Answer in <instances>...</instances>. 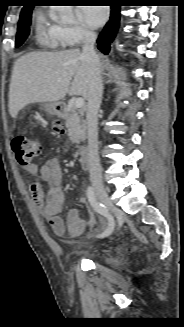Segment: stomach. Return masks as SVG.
I'll return each instance as SVG.
<instances>
[{"mask_svg": "<svg viewBox=\"0 0 184 327\" xmlns=\"http://www.w3.org/2000/svg\"><path fill=\"white\" fill-rule=\"evenodd\" d=\"M44 110L50 114V115H58L60 113L59 111V104L56 102H49V103H45L43 105Z\"/></svg>", "mask_w": 184, "mask_h": 327, "instance_id": "obj_1", "label": "stomach"}]
</instances>
